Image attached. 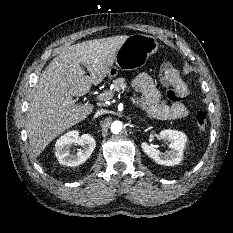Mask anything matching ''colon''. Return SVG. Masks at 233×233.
Here are the masks:
<instances>
[{
    "label": "colon",
    "instance_id": "colon-1",
    "mask_svg": "<svg viewBox=\"0 0 233 233\" xmlns=\"http://www.w3.org/2000/svg\"><path fill=\"white\" fill-rule=\"evenodd\" d=\"M160 78L163 85L168 89L167 97L174 102L185 100V95L176 87V83L181 78L178 70L167 59H163L160 65ZM195 123L200 131L206 130L208 126V116L204 111H199L195 116Z\"/></svg>",
    "mask_w": 233,
    "mask_h": 233
}]
</instances>
